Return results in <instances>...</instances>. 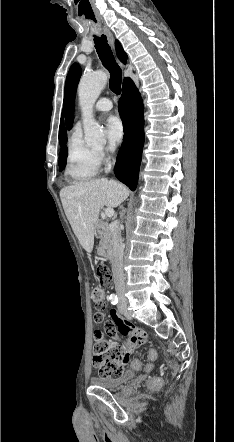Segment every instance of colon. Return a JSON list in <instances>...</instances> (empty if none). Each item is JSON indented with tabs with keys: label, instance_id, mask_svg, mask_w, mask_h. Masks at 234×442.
I'll return each instance as SVG.
<instances>
[{
	"label": "colon",
	"instance_id": "1",
	"mask_svg": "<svg viewBox=\"0 0 234 442\" xmlns=\"http://www.w3.org/2000/svg\"><path fill=\"white\" fill-rule=\"evenodd\" d=\"M96 275L101 286L93 288L91 297L96 307L101 310L104 298L103 287H109L111 285L112 275L109 266L103 261H99L96 264ZM115 336L110 338H115ZM96 337L97 343L94 349L93 363L98 368L101 376H118L124 371L125 365L134 370H139L142 367V362L136 358L134 350H124L123 346L105 340L102 331H97ZM144 353L146 359L150 362L146 366V369H150L152 367L151 363L157 359L158 352L154 346H149L145 348ZM149 387L150 389H161L162 382L161 380H150Z\"/></svg>",
	"mask_w": 234,
	"mask_h": 442
}]
</instances>
